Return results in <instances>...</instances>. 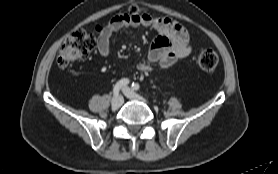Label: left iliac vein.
I'll return each mask as SVG.
<instances>
[{
  "label": "left iliac vein",
  "mask_w": 278,
  "mask_h": 174,
  "mask_svg": "<svg viewBox=\"0 0 278 174\" xmlns=\"http://www.w3.org/2000/svg\"><path fill=\"white\" fill-rule=\"evenodd\" d=\"M123 92L125 94V96L129 99H133V100H138V101H142L145 103H148L147 100L145 98H143L142 96H140L139 94L135 93L134 91H132L130 88L126 87L123 89Z\"/></svg>",
  "instance_id": "4c4485c4"
}]
</instances>
